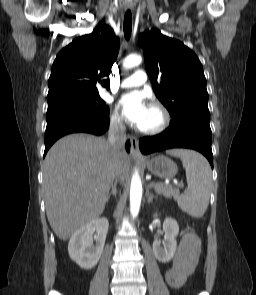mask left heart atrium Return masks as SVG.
<instances>
[{
  "label": "left heart atrium",
  "mask_w": 256,
  "mask_h": 295,
  "mask_svg": "<svg viewBox=\"0 0 256 295\" xmlns=\"http://www.w3.org/2000/svg\"><path fill=\"white\" fill-rule=\"evenodd\" d=\"M118 106L123 115L133 125L140 127L149 112V105L141 93L130 92L122 95Z\"/></svg>",
  "instance_id": "left-heart-atrium-1"
}]
</instances>
